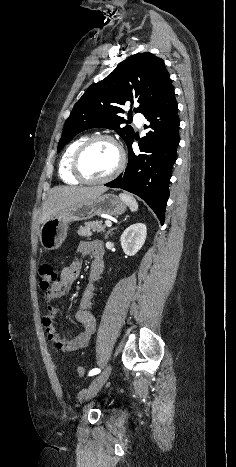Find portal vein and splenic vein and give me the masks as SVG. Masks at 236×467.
Listing matches in <instances>:
<instances>
[{
  "label": "portal vein and splenic vein",
  "instance_id": "obj_1",
  "mask_svg": "<svg viewBox=\"0 0 236 467\" xmlns=\"http://www.w3.org/2000/svg\"><path fill=\"white\" fill-rule=\"evenodd\" d=\"M105 225H106L107 227H111V226H112V222L109 221V220H106V221H105Z\"/></svg>",
  "mask_w": 236,
  "mask_h": 467
}]
</instances>
